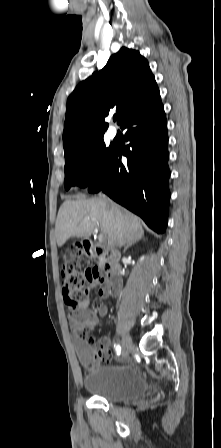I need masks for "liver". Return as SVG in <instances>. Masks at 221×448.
<instances>
[{"label":"liver","mask_w":221,"mask_h":448,"mask_svg":"<svg viewBox=\"0 0 221 448\" xmlns=\"http://www.w3.org/2000/svg\"><path fill=\"white\" fill-rule=\"evenodd\" d=\"M99 227L110 248L138 241L144 235L140 219L106 197L65 201L56 220L59 247L71 237L89 238Z\"/></svg>","instance_id":"1"}]
</instances>
